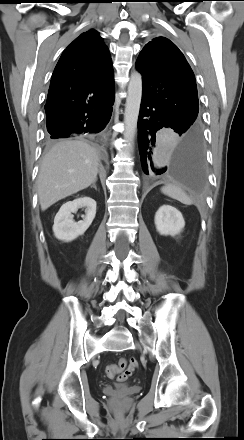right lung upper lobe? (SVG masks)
<instances>
[{"label": "right lung upper lobe", "mask_w": 244, "mask_h": 440, "mask_svg": "<svg viewBox=\"0 0 244 440\" xmlns=\"http://www.w3.org/2000/svg\"><path fill=\"white\" fill-rule=\"evenodd\" d=\"M114 96L109 50L98 32L89 30L63 52L53 72L46 118L100 109Z\"/></svg>", "instance_id": "obj_1"}]
</instances>
